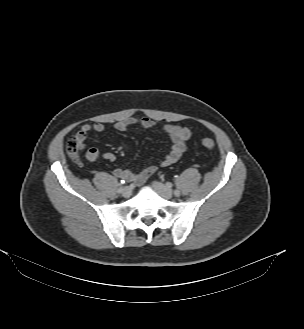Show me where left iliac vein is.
<instances>
[{"label":"left iliac vein","mask_w":304,"mask_h":329,"mask_svg":"<svg viewBox=\"0 0 304 329\" xmlns=\"http://www.w3.org/2000/svg\"><path fill=\"white\" fill-rule=\"evenodd\" d=\"M153 187L157 190V192L161 195V197L165 199H171L173 197V191L168 186L158 181H154Z\"/></svg>","instance_id":"4c4485c4"}]
</instances>
